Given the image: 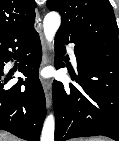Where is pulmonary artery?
Returning <instances> with one entry per match:
<instances>
[{
  "mask_svg": "<svg viewBox=\"0 0 119 141\" xmlns=\"http://www.w3.org/2000/svg\"><path fill=\"white\" fill-rule=\"evenodd\" d=\"M68 52H69L72 63L76 65V56H75L73 47H69Z\"/></svg>",
  "mask_w": 119,
  "mask_h": 141,
  "instance_id": "obj_1",
  "label": "pulmonary artery"
}]
</instances>
